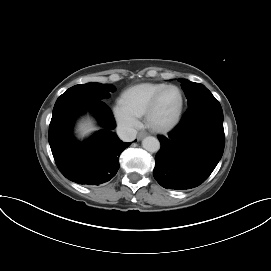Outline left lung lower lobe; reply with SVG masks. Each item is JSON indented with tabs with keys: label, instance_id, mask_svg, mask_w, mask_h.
<instances>
[{
	"label": "left lung lower lobe",
	"instance_id": "obj_1",
	"mask_svg": "<svg viewBox=\"0 0 271 271\" xmlns=\"http://www.w3.org/2000/svg\"><path fill=\"white\" fill-rule=\"evenodd\" d=\"M154 178L164 188L190 189L203 183L222 157L225 145L223 111L215 99L190 106L179 125L158 136Z\"/></svg>",
	"mask_w": 271,
	"mask_h": 271
}]
</instances>
